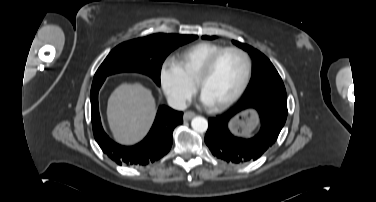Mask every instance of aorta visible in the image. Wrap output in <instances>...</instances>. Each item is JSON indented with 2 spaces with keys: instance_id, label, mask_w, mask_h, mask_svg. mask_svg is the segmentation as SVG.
<instances>
[{
  "instance_id": "obj_1",
  "label": "aorta",
  "mask_w": 376,
  "mask_h": 202,
  "mask_svg": "<svg viewBox=\"0 0 376 202\" xmlns=\"http://www.w3.org/2000/svg\"><path fill=\"white\" fill-rule=\"evenodd\" d=\"M192 128L199 133H203L208 128V121L201 116H196L191 121Z\"/></svg>"
}]
</instances>
